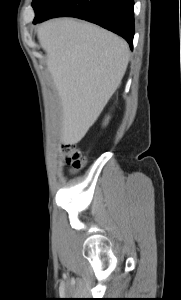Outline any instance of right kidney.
<instances>
[{"label":"right kidney","instance_id":"right-kidney-1","mask_svg":"<svg viewBox=\"0 0 181 300\" xmlns=\"http://www.w3.org/2000/svg\"><path fill=\"white\" fill-rule=\"evenodd\" d=\"M108 119H109V117L106 119V122H105V124L108 122Z\"/></svg>","mask_w":181,"mask_h":300}]
</instances>
